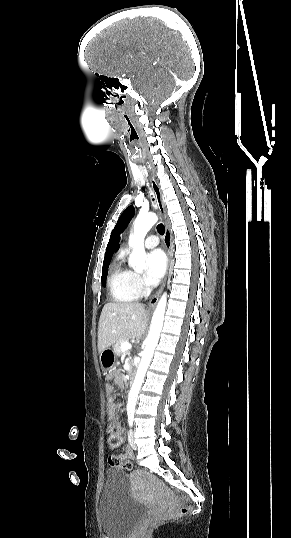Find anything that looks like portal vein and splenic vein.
I'll list each match as a JSON object with an SVG mask.
<instances>
[{"label": "portal vein and splenic vein", "mask_w": 291, "mask_h": 538, "mask_svg": "<svg viewBox=\"0 0 291 538\" xmlns=\"http://www.w3.org/2000/svg\"><path fill=\"white\" fill-rule=\"evenodd\" d=\"M131 348H132V345L129 342H124V343L121 344V350L122 351L129 350Z\"/></svg>", "instance_id": "1"}]
</instances>
